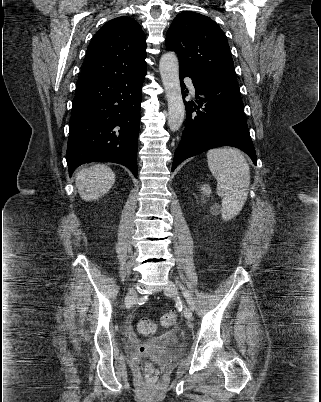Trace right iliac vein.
<instances>
[{"instance_id": "obj_1", "label": "right iliac vein", "mask_w": 321, "mask_h": 402, "mask_svg": "<svg viewBox=\"0 0 321 402\" xmlns=\"http://www.w3.org/2000/svg\"><path fill=\"white\" fill-rule=\"evenodd\" d=\"M137 294H136V290L135 288H131L125 298V305L127 308L131 307V305L133 304V300L136 298Z\"/></svg>"}]
</instances>
